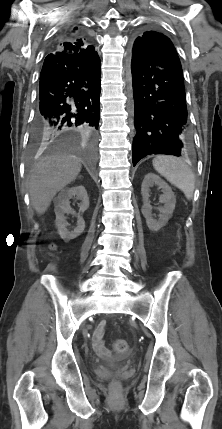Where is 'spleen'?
<instances>
[{
    "label": "spleen",
    "mask_w": 222,
    "mask_h": 429,
    "mask_svg": "<svg viewBox=\"0 0 222 429\" xmlns=\"http://www.w3.org/2000/svg\"><path fill=\"white\" fill-rule=\"evenodd\" d=\"M153 166L159 174L179 188L187 199L192 198L195 189V176L183 160L173 156L159 155L154 158Z\"/></svg>",
    "instance_id": "1"
}]
</instances>
